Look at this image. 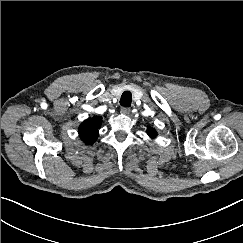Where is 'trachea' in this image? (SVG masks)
<instances>
[{
  "mask_svg": "<svg viewBox=\"0 0 243 243\" xmlns=\"http://www.w3.org/2000/svg\"><path fill=\"white\" fill-rule=\"evenodd\" d=\"M132 102V94L129 91L123 92L121 99H120V104L123 107H130Z\"/></svg>",
  "mask_w": 243,
  "mask_h": 243,
  "instance_id": "1",
  "label": "trachea"
}]
</instances>
